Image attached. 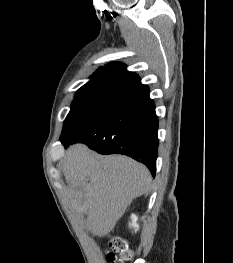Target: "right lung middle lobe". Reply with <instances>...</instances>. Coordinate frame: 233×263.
<instances>
[{
	"label": "right lung middle lobe",
	"mask_w": 233,
	"mask_h": 263,
	"mask_svg": "<svg viewBox=\"0 0 233 263\" xmlns=\"http://www.w3.org/2000/svg\"><path fill=\"white\" fill-rule=\"evenodd\" d=\"M118 96L91 94L76 95L67 115L60 141L72 140L94 125Z\"/></svg>",
	"instance_id": "dd1d6c3e"
}]
</instances>
